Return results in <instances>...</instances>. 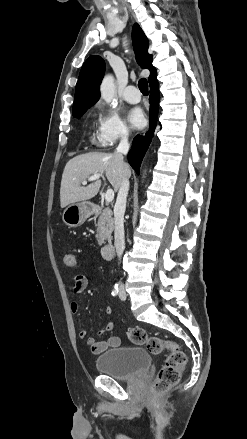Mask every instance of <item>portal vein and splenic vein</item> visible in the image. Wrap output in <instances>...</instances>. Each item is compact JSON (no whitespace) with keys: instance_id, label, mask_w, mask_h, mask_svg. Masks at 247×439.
<instances>
[{"instance_id":"18ae733b","label":"portal vein and splenic vein","mask_w":247,"mask_h":439,"mask_svg":"<svg viewBox=\"0 0 247 439\" xmlns=\"http://www.w3.org/2000/svg\"><path fill=\"white\" fill-rule=\"evenodd\" d=\"M100 177H101L100 174H94V175L88 177L87 180H84V181L82 182V184H83V185H86V184H87V181H94V180L99 179ZM113 199H114V191H113V189L109 188V189H107V191H106V194H105V200H106V202H112Z\"/></svg>"}]
</instances>
